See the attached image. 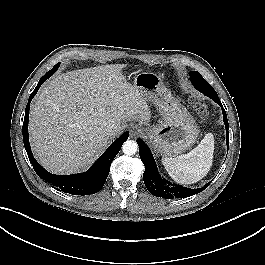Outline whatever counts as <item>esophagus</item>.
Segmentation results:
<instances>
[{"instance_id":"esophagus-1","label":"esophagus","mask_w":265,"mask_h":265,"mask_svg":"<svg viewBox=\"0 0 265 265\" xmlns=\"http://www.w3.org/2000/svg\"><path fill=\"white\" fill-rule=\"evenodd\" d=\"M141 133V129H139L137 126H133L130 130V135L132 137H135Z\"/></svg>"}]
</instances>
